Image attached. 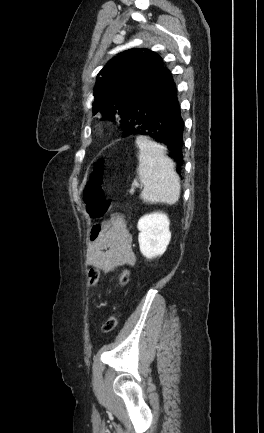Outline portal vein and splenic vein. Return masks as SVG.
<instances>
[{"instance_id": "obj_1", "label": "portal vein and splenic vein", "mask_w": 264, "mask_h": 433, "mask_svg": "<svg viewBox=\"0 0 264 433\" xmlns=\"http://www.w3.org/2000/svg\"><path fill=\"white\" fill-rule=\"evenodd\" d=\"M134 186H135V187H138V186H139L138 182H134ZM133 192H134V189L132 188V189L130 190V193H133Z\"/></svg>"}]
</instances>
